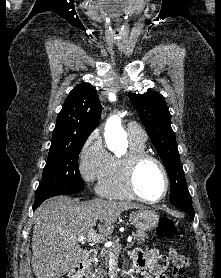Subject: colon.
<instances>
[{
    "instance_id": "5ec220e1",
    "label": "colon",
    "mask_w": 221,
    "mask_h": 278,
    "mask_svg": "<svg viewBox=\"0 0 221 278\" xmlns=\"http://www.w3.org/2000/svg\"><path fill=\"white\" fill-rule=\"evenodd\" d=\"M157 235L160 238H173L176 236V226L170 217L163 216L159 219L157 225ZM173 273L175 275H184L188 266V259L183 254L172 250Z\"/></svg>"
}]
</instances>
